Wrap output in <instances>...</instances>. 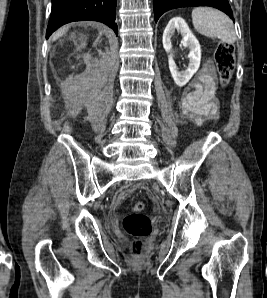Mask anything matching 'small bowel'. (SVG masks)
<instances>
[{
    "instance_id": "1",
    "label": "small bowel",
    "mask_w": 267,
    "mask_h": 298,
    "mask_svg": "<svg viewBox=\"0 0 267 298\" xmlns=\"http://www.w3.org/2000/svg\"><path fill=\"white\" fill-rule=\"evenodd\" d=\"M215 72L210 64H206L192 81L181 103L183 115L201 125L206 120L217 117L218 103L215 98Z\"/></svg>"
}]
</instances>
